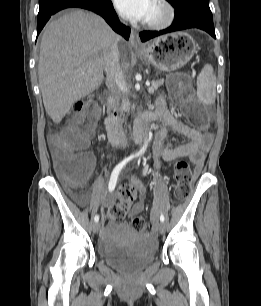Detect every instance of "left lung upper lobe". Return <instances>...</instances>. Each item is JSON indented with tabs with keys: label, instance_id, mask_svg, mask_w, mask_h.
Segmentation results:
<instances>
[{
	"label": "left lung upper lobe",
	"instance_id": "5c2ea615",
	"mask_svg": "<svg viewBox=\"0 0 261 306\" xmlns=\"http://www.w3.org/2000/svg\"><path fill=\"white\" fill-rule=\"evenodd\" d=\"M173 7H176L178 6L179 4H181L182 2L184 1H187V0H167ZM206 2H209V0H204Z\"/></svg>",
	"mask_w": 261,
	"mask_h": 306
}]
</instances>
